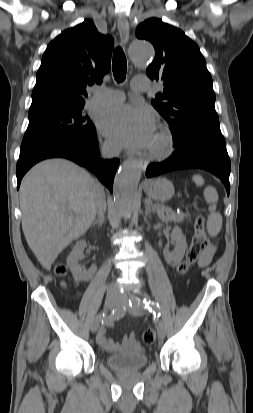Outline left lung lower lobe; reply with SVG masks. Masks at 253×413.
Listing matches in <instances>:
<instances>
[{
	"label": "left lung lower lobe",
	"instance_id": "obj_1",
	"mask_svg": "<svg viewBox=\"0 0 253 413\" xmlns=\"http://www.w3.org/2000/svg\"><path fill=\"white\" fill-rule=\"evenodd\" d=\"M172 135L175 151L167 160L150 164L146 176L178 169H203L220 178L229 195L230 159L219 122L196 121L184 131Z\"/></svg>",
	"mask_w": 253,
	"mask_h": 413
}]
</instances>
